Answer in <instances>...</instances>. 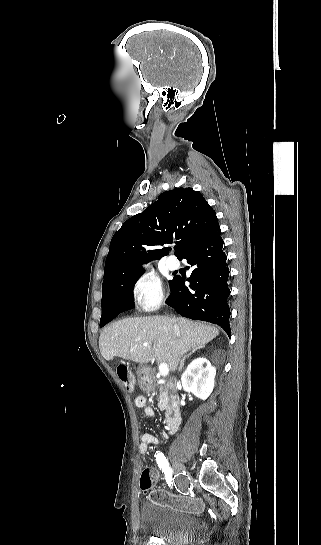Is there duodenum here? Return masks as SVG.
<instances>
[{"mask_svg":"<svg viewBox=\"0 0 321 545\" xmlns=\"http://www.w3.org/2000/svg\"><path fill=\"white\" fill-rule=\"evenodd\" d=\"M181 408L177 400H173L166 411L165 429L168 433L175 432L181 423Z\"/></svg>","mask_w":321,"mask_h":545,"instance_id":"1","label":"duodenum"}]
</instances>
